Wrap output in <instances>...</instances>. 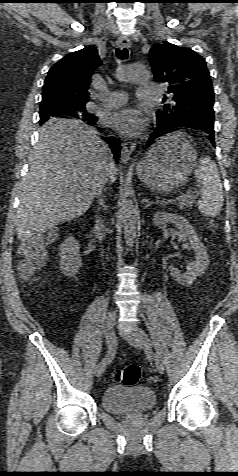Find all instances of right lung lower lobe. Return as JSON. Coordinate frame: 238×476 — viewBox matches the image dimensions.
<instances>
[{"label":"right lung lower lobe","mask_w":238,"mask_h":476,"mask_svg":"<svg viewBox=\"0 0 238 476\" xmlns=\"http://www.w3.org/2000/svg\"><path fill=\"white\" fill-rule=\"evenodd\" d=\"M96 122V121H95ZM95 122H88L89 125H94ZM105 141H107L108 144H110V148L115 156L116 162H118V159L120 157V142L118 139H109V138H103Z\"/></svg>","instance_id":"right-lung-lower-lobe-1"}]
</instances>
